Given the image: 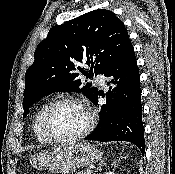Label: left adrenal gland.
Returning a JSON list of instances; mask_svg holds the SVG:
<instances>
[{
	"mask_svg": "<svg viewBox=\"0 0 175 174\" xmlns=\"http://www.w3.org/2000/svg\"><path fill=\"white\" fill-rule=\"evenodd\" d=\"M104 165H105L104 160H100L99 166H98V168L96 169V171H95L94 174H96L99 170H101L102 167H103Z\"/></svg>",
	"mask_w": 175,
	"mask_h": 174,
	"instance_id": "1",
	"label": "left adrenal gland"
}]
</instances>
